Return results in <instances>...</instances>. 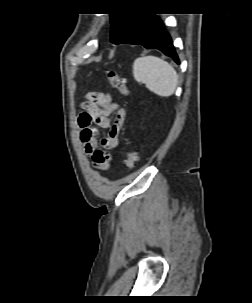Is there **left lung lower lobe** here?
Instances as JSON below:
<instances>
[{
	"mask_svg": "<svg viewBox=\"0 0 252 303\" xmlns=\"http://www.w3.org/2000/svg\"><path fill=\"white\" fill-rule=\"evenodd\" d=\"M121 43L139 44L147 49H158L179 64L171 38L155 14H146L133 30L117 44Z\"/></svg>",
	"mask_w": 252,
	"mask_h": 303,
	"instance_id": "left-lung-lower-lobe-1",
	"label": "left lung lower lobe"
}]
</instances>
